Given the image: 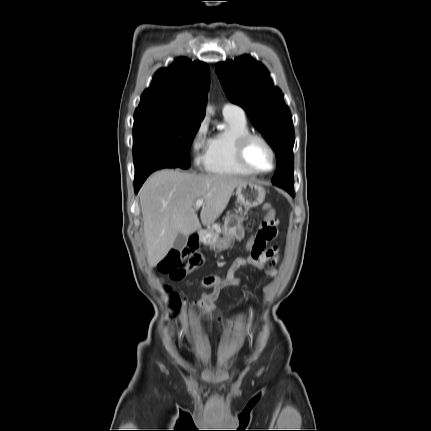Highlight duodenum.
<instances>
[{
	"label": "duodenum",
	"instance_id": "obj_1",
	"mask_svg": "<svg viewBox=\"0 0 431 431\" xmlns=\"http://www.w3.org/2000/svg\"><path fill=\"white\" fill-rule=\"evenodd\" d=\"M207 236V233L202 230V229H198L194 232V234L191 236V243L194 244L195 242H200L205 240Z\"/></svg>",
	"mask_w": 431,
	"mask_h": 431
}]
</instances>
